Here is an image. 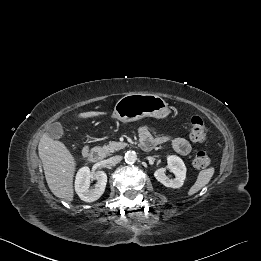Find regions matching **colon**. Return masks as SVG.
Instances as JSON below:
<instances>
[{"instance_id":"colon-1","label":"colon","mask_w":261,"mask_h":261,"mask_svg":"<svg viewBox=\"0 0 261 261\" xmlns=\"http://www.w3.org/2000/svg\"><path fill=\"white\" fill-rule=\"evenodd\" d=\"M206 135L207 128L202 118L199 116L192 117L190 122V136L192 140L195 142H203ZM210 162L211 158L206 152L199 151L196 153L194 163L197 167H206L210 164Z\"/></svg>"}]
</instances>
